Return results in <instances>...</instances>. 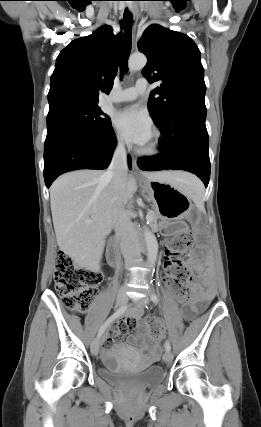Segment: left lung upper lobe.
Wrapping results in <instances>:
<instances>
[{
    "instance_id": "1",
    "label": "left lung upper lobe",
    "mask_w": 261,
    "mask_h": 427,
    "mask_svg": "<svg viewBox=\"0 0 261 427\" xmlns=\"http://www.w3.org/2000/svg\"><path fill=\"white\" fill-rule=\"evenodd\" d=\"M138 48L148 59L142 70L143 76L150 81L161 82L148 100V108L156 125L167 120L179 106L206 108L200 50L190 37L151 24L144 31ZM155 94L158 97H154Z\"/></svg>"
}]
</instances>
